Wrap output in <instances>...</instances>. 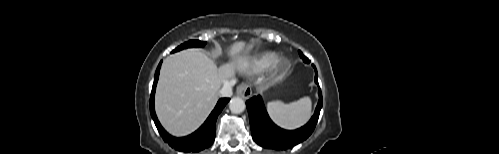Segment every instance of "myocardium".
I'll return each instance as SVG.
<instances>
[{"label":"myocardium","mask_w":499,"mask_h":154,"mask_svg":"<svg viewBox=\"0 0 499 154\" xmlns=\"http://www.w3.org/2000/svg\"><path fill=\"white\" fill-rule=\"evenodd\" d=\"M287 69L288 62L286 59L280 58L274 61L272 70L275 74H283L287 71Z\"/></svg>","instance_id":"1"}]
</instances>
